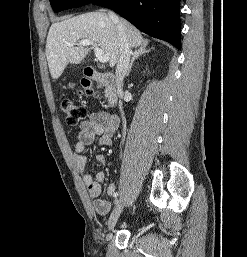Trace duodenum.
<instances>
[{
  "mask_svg": "<svg viewBox=\"0 0 247 257\" xmlns=\"http://www.w3.org/2000/svg\"><path fill=\"white\" fill-rule=\"evenodd\" d=\"M85 75L105 87V98L109 107H114L117 101V79L112 73H101L92 67H86Z\"/></svg>",
  "mask_w": 247,
  "mask_h": 257,
  "instance_id": "duodenum-1",
  "label": "duodenum"
}]
</instances>
